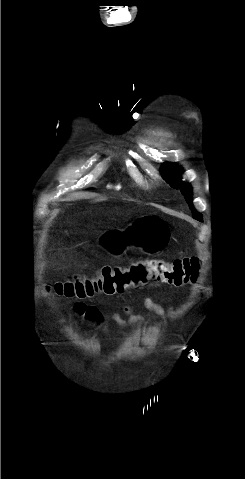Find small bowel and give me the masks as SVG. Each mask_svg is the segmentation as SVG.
I'll return each mask as SVG.
<instances>
[{"label": "small bowel", "instance_id": "c3829d8e", "mask_svg": "<svg viewBox=\"0 0 245 479\" xmlns=\"http://www.w3.org/2000/svg\"><path fill=\"white\" fill-rule=\"evenodd\" d=\"M77 306V305H76ZM145 306L148 310L160 317H165L173 314L172 307H164L152 299H147L145 301ZM85 311L89 320L95 324H101L103 319L102 315L99 312L98 308L95 306H85L81 311ZM123 314L127 315V319L123 318ZM112 320L117 324V326L122 330L123 334L127 336L128 328L136 325L143 324L144 319L139 314L135 313L131 308L125 307L120 311H116L111 316ZM137 336V335H136Z\"/></svg>", "mask_w": 245, "mask_h": 479}]
</instances>
